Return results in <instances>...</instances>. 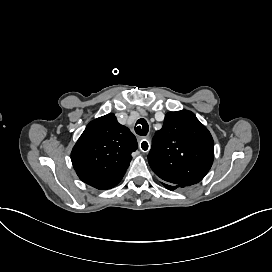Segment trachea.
Wrapping results in <instances>:
<instances>
[{"label":"trachea","mask_w":272,"mask_h":272,"mask_svg":"<svg viewBox=\"0 0 272 272\" xmlns=\"http://www.w3.org/2000/svg\"><path fill=\"white\" fill-rule=\"evenodd\" d=\"M135 132L140 136H145L148 133V123L145 119L141 118L137 121Z\"/></svg>","instance_id":"1"}]
</instances>
